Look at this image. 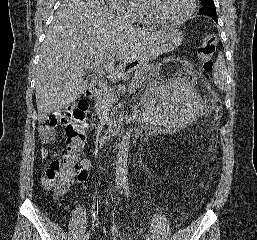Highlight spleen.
Here are the masks:
<instances>
[{"label": "spleen", "mask_w": 257, "mask_h": 240, "mask_svg": "<svg viewBox=\"0 0 257 240\" xmlns=\"http://www.w3.org/2000/svg\"><path fill=\"white\" fill-rule=\"evenodd\" d=\"M213 79L216 86L223 90L226 85V64L224 57L220 54L215 63V69L213 72Z\"/></svg>", "instance_id": "3e777b00"}]
</instances>
